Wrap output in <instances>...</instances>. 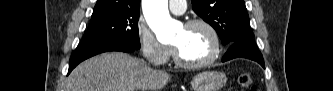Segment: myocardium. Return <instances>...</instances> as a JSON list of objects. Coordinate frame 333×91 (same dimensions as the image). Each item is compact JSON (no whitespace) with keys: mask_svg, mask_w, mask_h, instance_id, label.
<instances>
[{"mask_svg":"<svg viewBox=\"0 0 333 91\" xmlns=\"http://www.w3.org/2000/svg\"><path fill=\"white\" fill-rule=\"evenodd\" d=\"M197 26L203 27L209 32V34L213 40V52H212L211 56L205 60L198 61V62H191V61L185 60L182 57L179 49L173 45L174 61L180 67L188 68V69L204 68V67H207V66L211 65L212 63H214L221 54V39H220L219 33L217 32V30L215 29V27L212 24H210L209 22H207L203 19H192V20L187 21L184 24L185 28H193V27H197Z\"/></svg>","mask_w":333,"mask_h":91,"instance_id":"obj_1","label":"myocardium"}]
</instances>
